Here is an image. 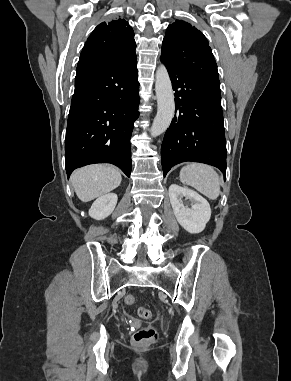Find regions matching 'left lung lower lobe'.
Instances as JSON below:
<instances>
[{"label": "left lung lower lobe", "instance_id": "1", "mask_svg": "<svg viewBox=\"0 0 291 381\" xmlns=\"http://www.w3.org/2000/svg\"><path fill=\"white\" fill-rule=\"evenodd\" d=\"M173 90L175 112L161 146L164 177L172 166L194 161L219 168L226 177V140L220 83L197 79L160 57Z\"/></svg>", "mask_w": 291, "mask_h": 381}]
</instances>
